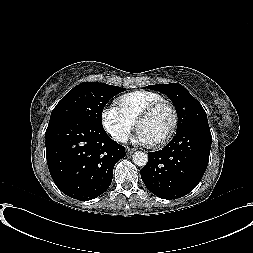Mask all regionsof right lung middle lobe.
<instances>
[{
  "mask_svg": "<svg viewBox=\"0 0 253 253\" xmlns=\"http://www.w3.org/2000/svg\"><path fill=\"white\" fill-rule=\"evenodd\" d=\"M125 89L105 83L85 82L71 89L53 109L50 121L78 118L102 126V112L107 102Z\"/></svg>",
  "mask_w": 253,
  "mask_h": 253,
  "instance_id": "1",
  "label": "right lung middle lobe"
}]
</instances>
